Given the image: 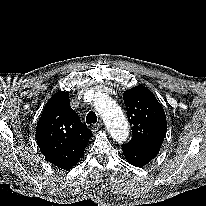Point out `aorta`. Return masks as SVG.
<instances>
[{"label": "aorta", "instance_id": "aorta-1", "mask_svg": "<svg viewBox=\"0 0 206 206\" xmlns=\"http://www.w3.org/2000/svg\"><path fill=\"white\" fill-rule=\"evenodd\" d=\"M94 103L114 140L117 142L126 141L129 135V125L118 104L101 93L96 95Z\"/></svg>", "mask_w": 206, "mask_h": 206}]
</instances>
